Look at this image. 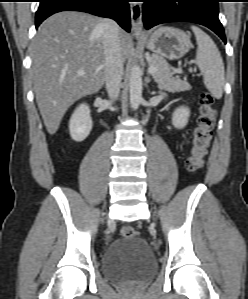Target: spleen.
Segmentation results:
<instances>
[{
    "mask_svg": "<svg viewBox=\"0 0 248 299\" xmlns=\"http://www.w3.org/2000/svg\"><path fill=\"white\" fill-rule=\"evenodd\" d=\"M191 30L197 41L196 62L203 74L204 84L215 98L220 99L225 83L224 63L220 52L203 30L196 26H191Z\"/></svg>",
    "mask_w": 248,
    "mask_h": 299,
    "instance_id": "3e777b00",
    "label": "spleen"
}]
</instances>
